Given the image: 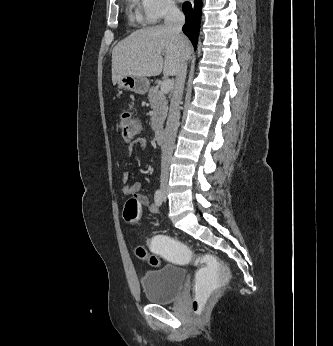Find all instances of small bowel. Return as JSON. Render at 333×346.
<instances>
[{"label": "small bowel", "instance_id": "obj_1", "mask_svg": "<svg viewBox=\"0 0 333 346\" xmlns=\"http://www.w3.org/2000/svg\"><path fill=\"white\" fill-rule=\"evenodd\" d=\"M148 140L144 137H139L135 139L128 147V153L132 154L136 148L143 149L147 146ZM131 177L130 172L125 171L123 173L122 179L125 183L129 181ZM141 184L139 182H135L133 184H126L123 188V192L127 196L136 197L142 206H145L150 212L156 213L158 212L157 205L150 202L149 198L140 193Z\"/></svg>", "mask_w": 333, "mask_h": 346}]
</instances>
